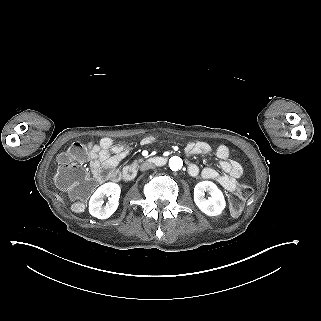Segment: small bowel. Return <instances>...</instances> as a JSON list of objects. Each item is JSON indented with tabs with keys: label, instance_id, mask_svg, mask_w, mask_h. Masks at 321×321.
<instances>
[{
	"label": "small bowel",
	"instance_id": "small-bowel-1",
	"mask_svg": "<svg viewBox=\"0 0 321 321\" xmlns=\"http://www.w3.org/2000/svg\"><path fill=\"white\" fill-rule=\"evenodd\" d=\"M156 140L157 137L155 135H148L141 140V143L143 145H150L155 143ZM88 150L91 172L99 182L109 178H116L118 163L129 153V147L116 144L109 137L102 138L99 143H89ZM211 152V146L203 141L190 142L185 148V153L188 156L206 155ZM214 155L219 160L218 167L221 172L212 167H206L200 171L196 164L190 163L188 165L189 175L196 177L201 174L202 178L214 180L228 191L236 190L239 186L238 179L243 174L240 161L230 159L229 149L223 144L216 147Z\"/></svg>",
	"mask_w": 321,
	"mask_h": 321
}]
</instances>
